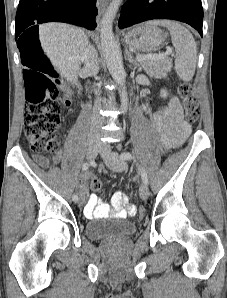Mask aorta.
<instances>
[{
  "label": "aorta",
  "instance_id": "aorta-1",
  "mask_svg": "<svg viewBox=\"0 0 227 298\" xmlns=\"http://www.w3.org/2000/svg\"><path fill=\"white\" fill-rule=\"evenodd\" d=\"M122 0H112L107 7L105 14L100 22V39L103 55L107 68L113 79L120 86L119 93L123 109L126 110L128 104L127 92L125 87L126 72L124 70L122 55L113 34V22Z\"/></svg>",
  "mask_w": 227,
  "mask_h": 298
}]
</instances>
